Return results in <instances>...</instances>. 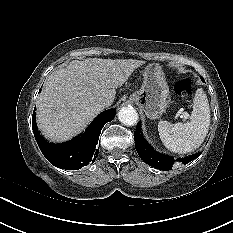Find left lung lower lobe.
<instances>
[{
	"label": "left lung lower lobe",
	"instance_id": "1",
	"mask_svg": "<svg viewBox=\"0 0 233 233\" xmlns=\"http://www.w3.org/2000/svg\"><path fill=\"white\" fill-rule=\"evenodd\" d=\"M134 140H135V148L140 156V158L148 165L157 168L159 170H170L176 160L173 157L160 154L156 152L148 142L143 138L141 134V125L138 123L136 131L134 132ZM200 154H194L187 158L178 159V162H182L183 164H187L199 157Z\"/></svg>",
	"mask_w": 233,
	"mask_h": 233
}]
</instances>
